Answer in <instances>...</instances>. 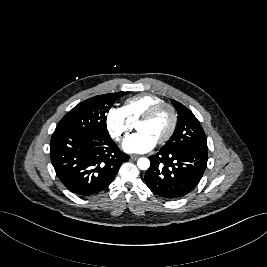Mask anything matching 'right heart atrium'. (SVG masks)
<instances>
[{"label":"right heart atrium","mask_w":267,"mask_h":267,"mask_svg":"<svg viewBox=\"0 0 267 267\" xmlns=\"http://www.w3.org/2000/svg\"><path fill=\"white\" fill-rule=\"evenodd\" d=\"M106 127L111 137L120 141L133 129L134 123L123 108L112 107L106 115Z\"/></svg>","instance_id":"d8ad5b80"}]
</instances>
